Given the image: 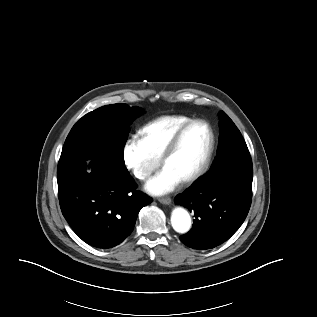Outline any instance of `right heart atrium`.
Segmentation results:
<instances>
[{
    "label": "right heart atrium",
    "instance_id": "obj_1",
    "mask_svg": "<svg viewBox=\"0 0 317 317\" xmlns=\"http://www.w3.org/2000/svg\"><path fill=\"white\" fill-rule=\"evenodd\" d=\"M124 166L140 181L147 180L159 166L160 159L154 157L141 138L128 139L122 148Z\"/></svg>",
    "mask_w": 317,
    "mask_h": 317
}]
</instances>
